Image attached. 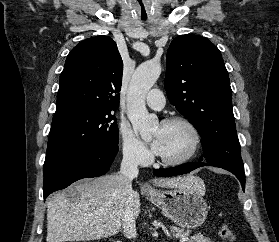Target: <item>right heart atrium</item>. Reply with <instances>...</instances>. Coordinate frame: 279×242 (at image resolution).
<instances>
[{
	"label": "right heart atrium",
	"instance_id": "obj_1",
	"mask_svg": "<svg viewBox=\"0 0 279 242\" xmlns=\"http://www.w3.org/2000/svg\"><path fill=\"white\" fill-rule=\"evenodd\" d=\"M119 138L122 156L125 162L132 165H145L150 159V152L134 135L126 124L119 127Z\"/></svg>",
	"mask_w": 279,
	"mask_h": 242
}]
</instances>
